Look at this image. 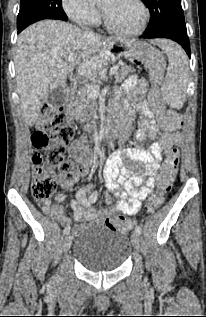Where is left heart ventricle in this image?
I'll return each instance as SVG.
<instances>
[{
    "mask_svg": "<svg viewBox=\"0 0 206 317\" xmlns=\"http://www.w3.org/2000/svg\"><path fill=\"white\" fill-rule=\"evenodd\" d=\"M100 6L109 21L120 30H135L142 22L143 12L134 0H101Z\"/></svg>",
    "mask_w": 206,
    "mask_h": 317,
    "instance_id": "b2bd125f",
    "label": "left heart ventricle"
}]
</instances>
